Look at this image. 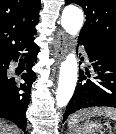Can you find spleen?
<instances>
[{
  "label": "spleen",
  "mask_w": 116,
  "mask_h": 134,
  "mask_svg": "<svg viewBox=\"0 0 116 134\" xmlns=\"http://www.w3.org/2000/svg\"><path fill=\"white\" fill-rule=\"evenodd\" d=\"M93 116H105L107 118H110L116 121V109L96 107V108H91L87 110H82L80 112L73 114L69 118L68 125L70 128H72L79 121H82L84 118H87V117L90 118Z\"/></svg>",
  "instance_id": "obj_1"
}]
</instances>
